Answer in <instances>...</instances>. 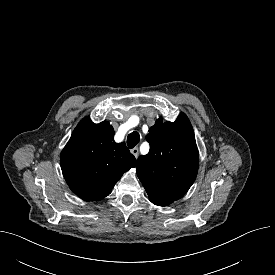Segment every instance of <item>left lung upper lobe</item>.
<instances>
[{
    "label": "left lung upper lobe",
    "instance_id": "obj_1",
    "mask_svg": "<svg viewBox=\"0 0 275 275\" xmlns=\"http://www.w3.org/2000/svg\"><path fill=\"white\" fill-rule=\"evenodd\" d=\"M146 140L150 151L138 158L137 175L151 202L170 204L186 194L197 176L199 155L192 126L184 113L173 123L159 118Z\"/></svg>",
    "mask_w": 275,
    "mask_h": 275
}]
</instances>
